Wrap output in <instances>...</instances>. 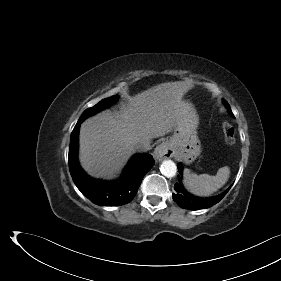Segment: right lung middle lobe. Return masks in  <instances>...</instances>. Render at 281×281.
<instances>
[{
	"instance_id": "obj_1",
	"label": "right lung middle lobe",
	"mask_w": 281,
	"mask_h": 281,
	"mask_svg": "<svg viewBox=\"0 0 281 281\" xmlns=\"http://www.w3.org/2000/svg\"><path fill=\"white\" fill-rule=\"evenodd\" d=\"M118 100V96L115 95V96H112L110 98H107V99H104L102 101H100L99 103H97L95 106L89 108V109H86L83 114L81 115L80 117V121H83L85 120L87 117L101 111L102 109L110 106L111 104H113L114 102H116Z\"/></svg>"
}]
</instances>
